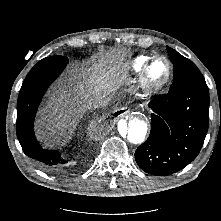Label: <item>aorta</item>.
I'll use <instances>...</instances> for the list:
<instances>
[{"instance_id":"obj_1","label":"aorta","mask_w":221,"mask_h":221,"mask_svg":"<svg viewBox=\"0 0 221 221\" xmlns=\"http://www.w3.org/2000/svg\"><path fill=\"white\" fill-rule=\"evenodd\" d=\"M148 124L142 115H131L117 123V135L125 142L141 144L144 142Z\"/></svg>"}]
</instances>
